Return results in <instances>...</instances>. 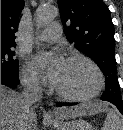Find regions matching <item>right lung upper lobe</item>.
<instances>
[{"instance_id":"cb5924a9","label":"right lung upper lobe","mask_w":123,"mask_h":130,"mask_svg":"<svg viewBox=\"0 0 123 130\" xmlns=\"http://www.w3.org/2000/svg\"><path fill=\"white\" fill-rule=\"evenodd\" d=\"M23 7V0H1V46H15V32Z\"/></svg>"}]
</instances>
